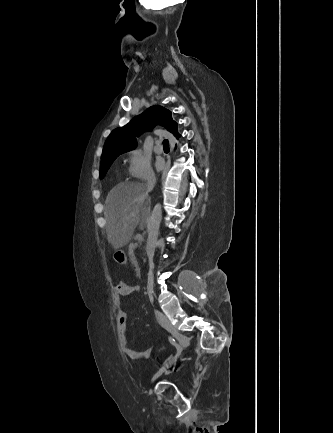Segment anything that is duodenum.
<instances>
[{
	"instance_id": "obj_1",
	"label": "duodenum",
	"mask_w": 333,
	"mask_h": 433,
	"mask_svg": "<svg viewBox=\"0 0 333 433\" xmlns=\"http://www.w3.org/2000/svg\"><path fill=\"white\" fill-rule=\"evenodd\" d=\"M133 249H134V244H129V248H128L129 258H131V263H133V268H138V263H136V258H134L135 254L132 252ZM137 274L141 276V269H138Z\"/></svg>"
}]
</instances>
